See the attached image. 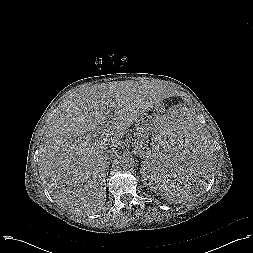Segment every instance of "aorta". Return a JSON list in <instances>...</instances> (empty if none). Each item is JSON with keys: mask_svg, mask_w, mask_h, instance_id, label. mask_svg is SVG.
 I'll return each mask as SVG.
<instances>
[{"mask_svg": "<svg viewBox=\"0 0 253 253\" xmlns=\"http://www.w3.org/2000/svg\"><path fill=\"white\" fill-rule=\"evenodd\" d=\"M118 163L123 169H130L134 166V158L130 153H123L118 157Z\"/></svg>", "mask_w": 253, "mask_h": 253, "instance_id": "1", "label": "aorta"}]
</instances>
